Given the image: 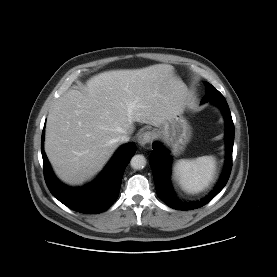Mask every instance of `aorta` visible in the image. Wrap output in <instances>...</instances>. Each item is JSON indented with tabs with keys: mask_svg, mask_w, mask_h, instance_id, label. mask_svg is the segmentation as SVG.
Instances as JSON below:
<instances>
[{
	"mask_svg": "<svg viewBox=\"0 0 277 277\" xmlns=\"http://www.w3.org/2000/svg\"><path fill=\"white\" fill-rule=\"evenodd\" d=\"M130 165L136 170L143 169L146 166V158L143 155H135L132 157Z\"/></svg>",
	"mask_w": 277,
	"mask_h": 277,
	"instance_id": "1",
	"label": "aorta"
}]
</instances>
